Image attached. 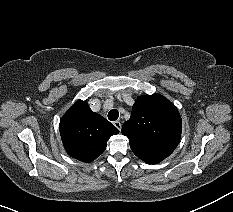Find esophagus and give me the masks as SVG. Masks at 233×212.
<instances>
[{
    "instance_id": "34e87169",
    "label": "esophagus",
    "mask_w": 233,
    "mask_h": 212,
    "mask_svg": "<svg viewBox=\"0 0 233 212\" xmlns=\"http://www.w3.org/2000/svg\"><path fill=\"white\" fill-rule=\"evenodd\" d=\"M113 125L120 131L121 130V122L120 121H114Z\"/></svg>"
}]
</instances>
